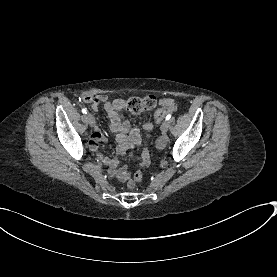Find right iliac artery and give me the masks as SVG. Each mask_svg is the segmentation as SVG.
<instances>
[{
	"mask_svg": "<svg viewBox=\"0 0 277 277\" xmlns=\"http://www.w3.org/2000/svg\"><path fill=\"white\" fill-rule=\"evenodd\" d=\"M82 112L84 113V114H87V109L86 108H84V109H82Z\"/></svg>",
	"mask_w": 277,
	"mask_h": 277,
	"instance_id": "82829eb1",
	"label": "right iliac artery"
}]
</instances>
